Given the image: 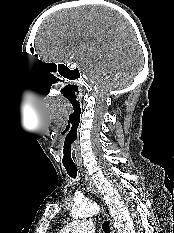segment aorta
I'll return each instance as SVG.
<instances>
[{
	"instance_id": "1",
	"label": "aorta",
	"mask_w": 174,
	"mask_h": 233,
	"mask_svg": "<svg viewBox=\"0 0 174 233\" xmlns=\"http://www.w3.org/2000/svg\"><path fill=\"white\" fill-rule=\"evenodd\" d=\"M99 212V207L91 202H75L71 209V216L73 218L90 217Z\"/></svg>"
}]
</instances>
